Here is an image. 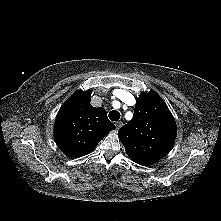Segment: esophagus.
<instances>
[{
    "label": "esophagus",
    "mask_w": 221,
    "mask_h": 221,
    "mask_svg": "<svg viewBox=\"0 0 221 221\" xmlns=\"http://www.w3.org/2000/svg\"><path fill=\"white\" fill-rule=\"evenodd\" d=\"M123 125V122L122 121H118L115 123V126H116V129L119 130Z\"/></svg>",
    "instance_id": "obj_1"
}]
</instances>
